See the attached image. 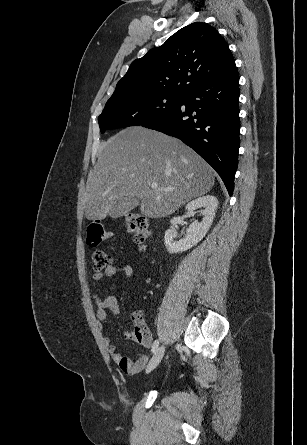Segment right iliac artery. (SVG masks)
<instances>
[{
	"mask_svg": "<svg viewBox=\"0 0 307 445\" xmlns=\"http://www.w3.org/2000/svg\"><path fill=\"white\" fill-rule=\"evenodd\" d=\"M158 346H159V341L155 340L151 349L152 353H154L158 349Z\"/></svg>",
	"mask_w": 307,
	"mask_h": 445,
	"instance_id": "right-iliac-artery-1",
	"label": "right iliac artery"
}]
</instances>
